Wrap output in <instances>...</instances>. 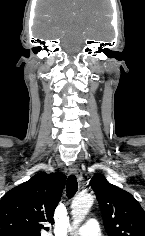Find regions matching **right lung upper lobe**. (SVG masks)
Returning <instances> with one entry per match:
<instances>
[{
    "mask_svg": "<svg viewBox=\"0 0 145 236\" xmlns=\"http://www.w3.org/2000/svg\"><path fill=\"white\" fill-rule=\"evenodd\" d=\"M66 176L38 173L8 191L0 200V236H40L53 223Z\"/></svg>",
    "mask_w": 145,
    "mask_h": 236,
    "instance_id": "cb5924a9",
    "label": "right lung upper lobe"
}]
</instances>
